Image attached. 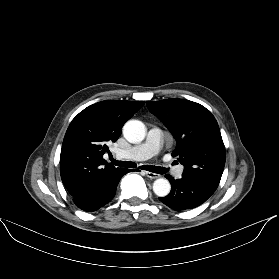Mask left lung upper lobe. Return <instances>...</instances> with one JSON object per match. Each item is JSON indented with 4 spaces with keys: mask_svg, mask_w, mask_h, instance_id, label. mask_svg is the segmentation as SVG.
Listing matches in <instances>:
<instances>
[{
    "mask_svg": "<svg viewBox=\"0 0 279 279\" xmlns=\"http://www.w3.org/2000/svg\"><path fill=\"white\" fill-rule=\"evenodd\" d=\"M176 139L172 156L184 165L183 175L216 190L224 165L225 147L216 119L201 104L185 99L147 102Z\"/></svg>",
    "mask_w": 279,
    "mask_h": 279,
    "instance_id": "5c2ea615",
    "label": "left lung upper lobe"
}]
</instances>
